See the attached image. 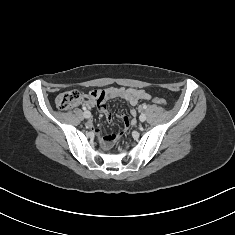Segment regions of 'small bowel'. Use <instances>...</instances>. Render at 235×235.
Segmentation results:
<instances>
[{
	"instance_id": "obj_1",
	"label": "small bowel",
	"mask_w": 235,
	"mask_h": 235,
	"mask_svg": "<svg viewBox=\"0 0 235 235\" xmlns=\"http://www.w3.org/2000/svg\"><path fill=\"white\" fill-rule=\"evenodd\" d=\"M120 98L125 100L130 106V114L135 117L137 114L134 108L140 100H150L151 96L145 90L136 88H124V87H109L106 89H99L91 91L84 100V107L93 108L97 106L102 113L105 114L107 123L112 121V113L107 107V101L109 99ZM124 117V116H123ZM131 123V120H130ZM88 129L92 133H97L98 138L104 145L105 136L101 134L102 126H94L92 123L87 124Z\"/></svg>"
}]
</instances>
